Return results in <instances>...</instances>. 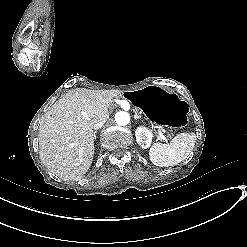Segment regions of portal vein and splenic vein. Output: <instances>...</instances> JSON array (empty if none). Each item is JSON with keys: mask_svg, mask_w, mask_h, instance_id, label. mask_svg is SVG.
Wrapping results in <instances>:
<instances>
[{"mask_svg": "<svg viewBox=\"0 0 247 247\" xmlns=\"http://www.w3.org/2000/svg\"><path fill=\"white\" fill-rule=\"evenodd\" d=\"M160 137H161V139L164 140V142H165L166 144H169L168 139H166V137H165L163 134H160Z\"/></svg>", "mask_w": 247, "mask_h": 247, "instance_id": "obj_1", "label": "portal vein and splenic vein"}]
</instances>
